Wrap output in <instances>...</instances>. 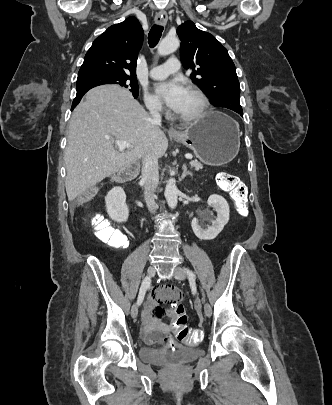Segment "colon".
Listing matches in <instances>:
<instances>
[{"label":"colon","mask_w":332,"mask_h":405,"mask_svg":"<svg viewBox=\"0 0 332 405\" xmlns=\"http://www.w3.org/2000/svg\"><path fill=\"white\" fill-rule=\"evenodd\" d=\"M219 186L227 191L236 204L238 213L241 216H245L247 213V189L244 183L238 176L230 173H222L218 177ZM91 225L98 235V238L107 243L111 242L117 245V249H123V245L127 243V238L123 233L118 232L111 226L109 221L101 215H96L91 220ZM164 288H176L172 285H168ZM175 308L174 310H169ZM168 306H164L165 320L169 323V328L172 330L171 340L173 342H182L187 345H191V349H196V345L202 340V334L204 332L203 325H191L193 317L192 310H186L185 307L179 306L177 299H170ZM173 312V313H171Z\"/></svg>","instance_id":"colon-1"}]
</instances>
